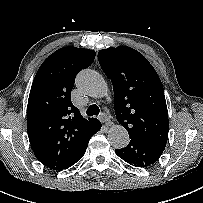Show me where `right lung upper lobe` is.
Returning <instances> with one entry per match:
<instances>
[{"mask_svg": "<svg viewBox=\"0 0 203 203\" xmlns=\"http://www.w3.org/2000/svg\"><path fill=\"white\" fill-rule=\"evenodd\" d=\"M94 58L93 50L61 48L42 63L32 83L28 137L35 157L51 169L67 168L98 124V119H84L70 99L77 73Z\"/></svg>", "mask_w": 203, "mask_h": 203, "instance_id": "1", "label": "right lung upper lobe"}]
</instances>
